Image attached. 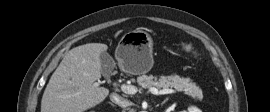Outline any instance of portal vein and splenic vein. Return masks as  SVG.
Masks as SVG:
<instances>
[{"mask_svg":"<svg viewBox=\"0 0 270 112\" xmlns=\"http://www.w3.org/2000/svg\"><path fill=\"white\" fill-rule=\"evenodd\" d=\"M121 90L126 94H136L138 92V89L136 86L126 85V84L121 85ZM149 91L154 95H165V94H171V93L176 92L175 90L169 89V88L158 90L155 87L149 88Z\"/></svg>","mask_w":270,"mask_h":112,"instance_id":"obj_1","label":"portal vein and splenic vein"}]
</instances>
